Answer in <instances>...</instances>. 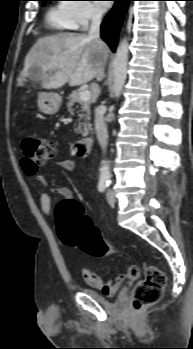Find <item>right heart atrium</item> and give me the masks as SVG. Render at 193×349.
I'll return each instance as SVG.
<instances>
[{"instance_id": "d8ad5b80", "label": "right heart atrium", "mask_w": 193, "mask_h": 349, "mask_svg": "<svg viewBox=\"0 0 193 349\" xmlns=\"http://www.w3.org/2000/svg\"><path fill=\"white\" fill-rule=\"evenodd\" d=\"M66 4L77 29H85L90 23L101 19L103 14L102 10L90 0H70Z\"/></svg>"}]
</instances>
